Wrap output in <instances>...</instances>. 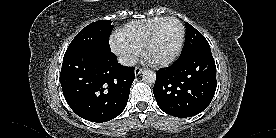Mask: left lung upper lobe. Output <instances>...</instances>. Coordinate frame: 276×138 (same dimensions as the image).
Listing matches in <instances>:
<instances>
[{
	"mask_svg": "<svg viewBox=\"0 0 276 138\" xmlns=\"http://www.w3.org/2000/svg\"><path fill=\"white\" fill-rule=\"evenodd\" d=\"M185 27L187 31L185 43L178 59H182L199 49L210 48L207 40L198 30L189 23H185Z\"/></svg>",
	"mask_w": 276,
	"mask_h": 138,
	"instance_id": "5c2ea615",
	"label": "left lung upper lobe"
}]
</instances>
